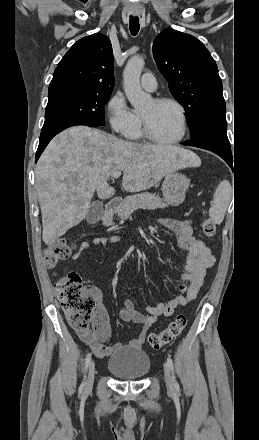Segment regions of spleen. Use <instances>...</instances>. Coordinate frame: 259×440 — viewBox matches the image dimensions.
<instances>
[{"label":"spleen","mask_w":259,"mask_h":440,"mask_svg":"<svg viewBox=\"0 0 259 440\" xmlns=\"http://www.w3.org/2000/svg\"><path fill=\"white\" fill-rule=\"evenodd\" d=\"M232 196V187L227 180H223L217 186L214 197L213 204L209 210V215L211 220L216 224H221L226 210L228 208L229 202Z\"/></svg>","instance_id":"obj_1"}]
</instances>
